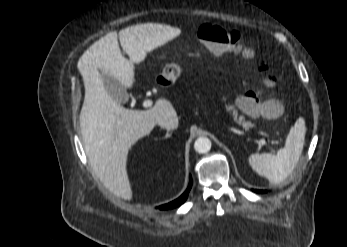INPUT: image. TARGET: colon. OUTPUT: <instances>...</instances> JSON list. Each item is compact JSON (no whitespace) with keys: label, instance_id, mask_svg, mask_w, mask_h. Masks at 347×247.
<instances>
[{"label":"colon","instance_id":"5ec220e1","mask_svg":"<svg viewBox=\"0 0 347 247\" xmlns=\"http://www.w3.org/2000/svg\"><path fill=\"white\" fill-rule=\"evenodd\" d=\"M197 37L214 56L220 57L229 52H237L245 58L253 56V50L244 45L243 34L235 29L206 23L199 27ZM268 70L269 66L266 63L260 65L261 72H268ZM276 83V77H270L266 81V86L271 89ZM264 101L263 92L249 91L240 99H237V105L240 110L250 117H259L264 114L277 115L282 111L280 102Z\"/></svg>","mask_w":347,"mask_h":247}]
</instances>
